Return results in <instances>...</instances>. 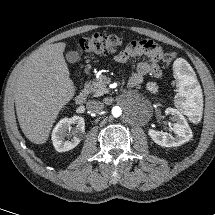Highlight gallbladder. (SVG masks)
<instances>
[{
    "label": "gallbladder",
    "mask_w": 215,
    "mask_h": 215,
    "mask_svg": "<svg viewBox=\"0 0 215 215\" xmlns=\"http://www.w3.org/2000/svg\"><path fill=\"white\" fill-rule=\"evenodd\" d=\"M66 59L70 63H76L78 61V59H79V54L76 51H69L66 54Z\"/></svg>",
    "instance_id": "bac80fb5"
}]
</instances>
